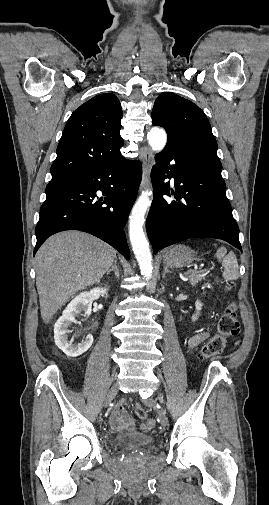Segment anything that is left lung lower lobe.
Wrapping results in <instances>:
<instances>
[{
	"label": "left lung lower lobe",
	"instance_id": "1",
	"mask_svg": "<svg viewBox=\"0 0 269 505\" xmlns=\"http://www.w3.org/2000/svg\"><path fill=\"white\" fill-rule=\"evenodd\" d=\"M155 159L154 197L146 220L153 252L195 237L222 239L242 251L220 160L177 139L168 140ZM166 174L174 178L171 192L169 182L164 184ZM163 194L173 195L176 201L167 202Z\"/></svg>",
	"mask_w": 269,
	"mask_h": 505
}]
</instances>
